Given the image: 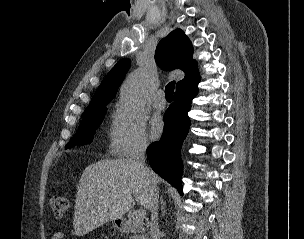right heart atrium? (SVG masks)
<instances>
[{
    "label": "right heart atrium",
    "instance_id": "d8ad5b80",
    "mask_svg": "<svg viewBox=\"0 0 304 239\" xmlns=\"http://www.w3.org/2000/svg\"><path fill=\"white\" fill-rule=\"evenodd\" d=\"M106 145L117 156L128 157L142 153L148 146L143 120L122 107H116L111 116Z\"/></svg>",
    "mask_w": 304,
    "mask_h": 239
}]
</instances>
